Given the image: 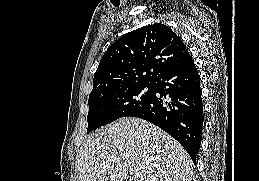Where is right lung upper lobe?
<instances>
[{"instance_id": "cb5924a9", "label": "right lung upper lobe", "mask_w": 259, "mask_h": 181, "mask_svg": "<svg viewBox=\"0 0 259 181\" xmlns=\"http://www.w3.org/2000/svg\"><path fill=\"white\" fill-rule=\"evenodd\" d=\"M189 55L168 26L156 23L126 33L102 57L89 96L115 88L153 83L163 71Z\"/></svg>"}]
</instances>
